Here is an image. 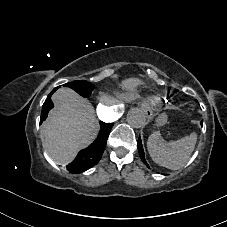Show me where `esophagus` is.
<instances>
[{"instance_id": "1", "label": "esophagus", "mask_w": 227, "mask_h": 227, "mask_svg": "<svg viewBox=\"0 0 227 227\" xmlns=\"http://www.w3.org/2000/svg\"><path fill=\"white\" fill-rule=\"evenodd\" d=\"M142 114L145 117V119L148 120V121L153 120L154 117H155L154 112L149 107L144 108L143 111H142Z\"/></svg>"}]
</instances>
